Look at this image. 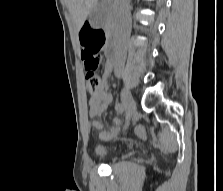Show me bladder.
<instances>
[{
	"label": "bladder",
	"instance_id": "1",
	"mask_svg": "<svg viewBox=\"0 0 223 191\" xmlns=\"http://www.w3.org/2000/svg\"><path fill=\"white\" fill-rule=\"evenodd\" d=\"M110 150L106 146L98 145L95 148V156L97 158H106L109 156Z\"/></svg>",
	"mask_w": 223,
	"mask_h": 191
}]
</instances>
